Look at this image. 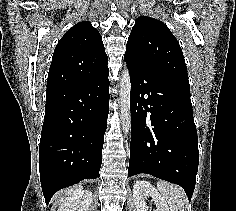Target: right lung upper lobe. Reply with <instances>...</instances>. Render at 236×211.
Returning a JSON list of instances; mask_svg holds the SVG:
<instances>
[{"instance_id": "right-lung-upper-lobe-1", "label": "right lung upper lobe", "mask_w": 236, "mask_h": 211, "mask_svg": "<svg viewBox=\"0 0 236 211\" xmlns=\"http://www.w3.org/2000/svg\"><path fill=\"white\" fill-rule=\"evenodd\" d=\"M102 37L90 22L71 27L59 40L48 73L47 91L76 86L109 71Z\"/></svg>"}]
</instances>
